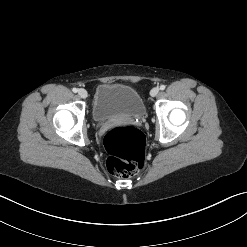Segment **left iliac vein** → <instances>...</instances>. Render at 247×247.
I'll use <instances>...</instances> for the list:
<instances>
[{
	"label": "left iliac vein",
	"mask_w": 247,
	"mask_h": 247,
	"mask_svg": "<svg viewBox=\"0 0 247 247\" xmlns=\"http://www.w3.org/2000/svg\"><path fill=\"white\" fill-rule=\"evenodd\" d=\"M159 93V88L158 87H154L151 91H150V95L152 97L157 96V94Z\"/></svg>",
	"instance_id": "left-iliac-vein-1"
}]
</instances>
